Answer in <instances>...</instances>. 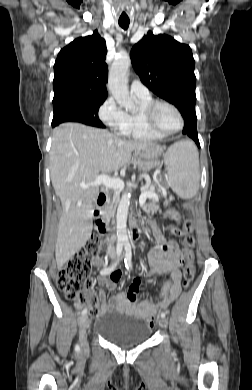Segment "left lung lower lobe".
Here are the masks:
<instances>
[{
  "label": "left lung lower lobe",
  "instance_id": "left-lung-lower-lobe-1",
  "mask_svg": "<svg viewBox=\"0 0 252 390\" xmlns=\"http://www.w3.org/2000/svg\"><path fill=\"white\" fill-rule=\"evenodd\" d=\"M185 126L183 128V134L188 135L190 138H192L198 147H200L199 140H198V134H197V118L196 116L186 117L184 118Z\"/></svg>",
  "mask_w": 252,
  "mask_h": 390
}]
</instances>
